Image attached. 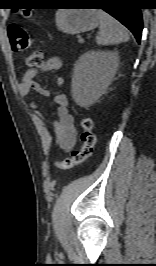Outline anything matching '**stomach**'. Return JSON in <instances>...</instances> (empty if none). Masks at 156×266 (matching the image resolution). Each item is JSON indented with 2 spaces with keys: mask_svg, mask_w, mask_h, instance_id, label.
Segmentation results:
<instances>
[{
  "mask_svg": "<svg viewBox=\"0 0 156 266\" xmlns=\"http://www.w3.org/2000/svg\"><path fill=\"white\" fill-rule=\"evenodd\" d=\"M57 28L67 34H78L96 28L100 21L95 9L64 8L55 15Z\"/></svg>",
  "mask_w": 156,
  "mask_h": 266,
  "instance_id": "stomach-1",
  "label": "stomach"
}]
</instances>
